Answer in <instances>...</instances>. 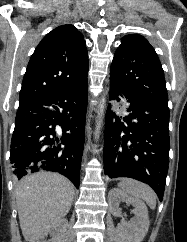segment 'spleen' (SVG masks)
<instances>
[{"label":"spleen","instance_id":"spleen-1","mask_svg":"<svg viewBox=\"0 0 187 242\" xmlns=\"http://www.w3.org/2000/svg\"><path fill=\"white\" fill-rule=\"evenodd\" d=\"M121 190L137 199L144 200L151 209L156 207V195L154 191L144 183L133 179H122L118 184Z\"/></svg>","mask_w":187,"mask_h":242}]
</instances>
